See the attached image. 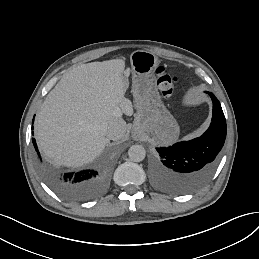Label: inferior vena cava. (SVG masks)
I'll return each instance as SVG.
<instances>
[{"instance_id": "obj_1", "label": "inferior vena cava", "mask_w": 259, "mask_h": 259, "mask_svg": "<svg viewBox=\"0 0 259 259\" xmlns=\"http://www.w3.org/2000/svg\"><path fill=\"white\" fill-rule=\"evenodd\" d=\"M100 132L110 140L122 139L126 134V123L122 119H114L100 125Z\"/></svg>"}]
</instances>
